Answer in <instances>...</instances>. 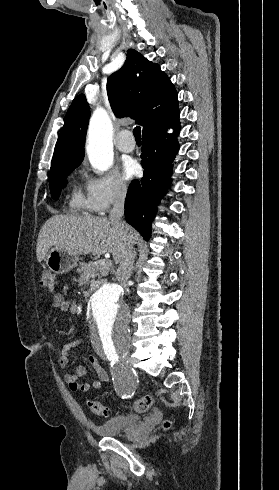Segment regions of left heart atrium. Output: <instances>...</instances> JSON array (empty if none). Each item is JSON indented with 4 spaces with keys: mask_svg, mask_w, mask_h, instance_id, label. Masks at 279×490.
I'll use <instances>...</instances> for the list:
<instances>
[{
    "mask_svg": "<svg viewBox=\"0 0 279 490\" xmlns=\"http://www.w3.org/2000/svg\"><path fill=\"white\" fill-rule=\"evenodd\" d=\"M138 163L132 158H126L123 162V176L125 179H131L137 172Z\"/></svg>",
    "mask_w": 279,
    "mask_h": 490,
    "instance_id": "left-heart-atrium-1",
    "label": "left heart atrium"
}]
</instances>
